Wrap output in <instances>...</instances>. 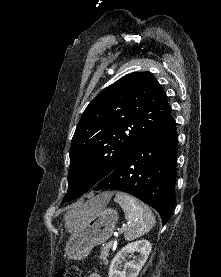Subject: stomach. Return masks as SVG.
Masks as SVG:
<instances>
[{
  "label": "stomach",
  "mask_w": 221,
  "mask_h": 277,
  "mask_svg": "<svg viewBox=\"0 0 221 277\" xmlns=\"http://www.w3.org/2000/svg\"><path fill=\"white\" fill-rule=\"evenodd\" d=\"M118 219L116 210L98 204L95 198L76 209L67 223L70 237L65 253L68 258L80 260L88 256L95 246L111 237Z\"/></svg>",
  "instance_id": "obj_1"
}]
</instances>
